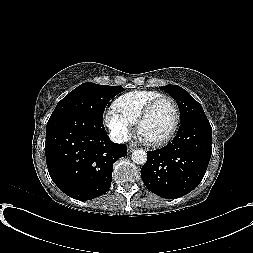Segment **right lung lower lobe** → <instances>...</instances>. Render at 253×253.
<instances>
[{
    "label": "right lung lower lobe",
    "mask_w": 253,
    "mask_h": 253,
    "mask_svg": "<svg viewBox=\"0 0 253 253\" xmlns=\"http://www.w3.org/2000/svg\"><path fill=\"white\" fill-rule=\"evenodd\" d=\"M45 154L59 189L76 200H90L108 191L113 163L127 155V148L110 140L102 121L71 112L50 117Z\"/></svg>",
    "instance_id": "obj_1"
}]
</instances>
